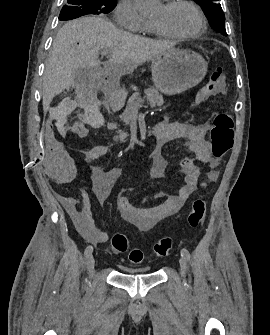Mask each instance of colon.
Returning <instances> with one entry per match:
<instances>
[{
	"label": "colon",
	"mask_w": 270,
	"mask_h": 335,
	"mask_svg": "<svg viewBox=\"0 0 270 335\" xmlns=\"http://www.w3.org/2000/svg\"><path fill=\"white\" fill-rule=\"evenodd\" d=\"M225 76L224 70L217 67L212 70L206 85L201 89L197 99L203 101L215 95H218L224 88ZM77 135L81 138L87 136V131L80 129ZM234 131L233 120L230 114L219 112L215 115L210 131L211 153L215 159L224 158L233 145ZM214 180V174H208L207 181ZM205 217V202L202 196H197L190 207L187 215V223L192 227H198L202 224ZM112 250L116 253H125L129 250V240L124 233H116L110 242ZM173 247L171 238H163L157 242L152 250L151 257L159 258L166 256ZM129 262L132 264H142L145 261V254L139 249H131L128 255Z\"/></svg>",
	"instance_id": "5ec220e1"
}]
</instances>
